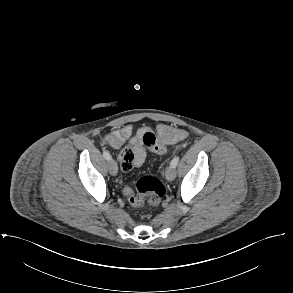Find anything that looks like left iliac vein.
Returning <instances> with one entry per match:
<instances>
[{
    "label": "left iliac vein",
    "mask_w": 293,
    "mask_h": 293,
    "mask_svg": "<svg viewBox=\"0 0 293 293\" xmlns=\"http://www.w3.org/2000/svg\"><path fill=\"white\" fill-rule=\"evenodd\" d=\"M165 176H166V179L169 180V181H172L175 179L176 177V170H175V167L173 166H168L165 170Z\"/></svg>",
    "instance_id": "4c4485c4"
}]
</instances>
